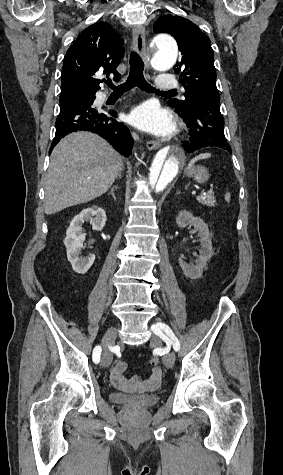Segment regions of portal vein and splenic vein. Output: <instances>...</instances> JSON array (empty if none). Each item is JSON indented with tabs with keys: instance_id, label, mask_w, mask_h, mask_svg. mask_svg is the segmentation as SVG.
I'll return each instance as SVG.
<instances>
[{
	"instance_id": "portal-vein-and-splenic-vein-1",
	"label": "portal vein and splenic vein",
	"mask_w": 283,
	"mask_h": 475,
	"mask_svg": "<svg viewBox=\"0 0 283 475\" xmlns=\"http://www.w3.org/2000/svg\"><path fill=\"white\" fill-rule=\"evenodd\" d=\"M201 196H202L201 194H198V195H197V197H196V198H197V200H198V198H199V197H201Z\"/></svg>"
}]
</instances>
